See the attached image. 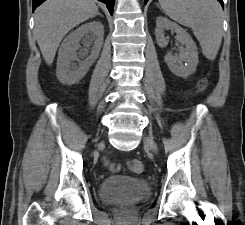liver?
Segmentation results:
<instances>
[{
  "instance_id": "liver-1",
  "label": "liver",
  "mask_w": 245,
  "mask_h": 225,
  "mask_svg": "<svg viewBox=\"0 0 245 225\" xmlns=\"http://www.w3.org/2000/svg\"><path fill=\"white\" fill-rule=\"evenodd\" d=\"M98 15L94 0H47L35 11V35L46 64L51 65L64 36Z\"/></svg>"
}]
</instances>
